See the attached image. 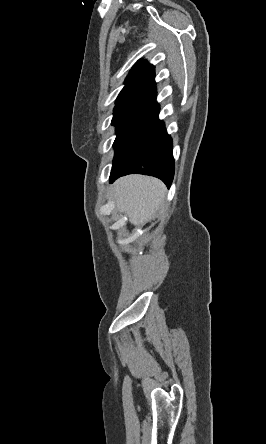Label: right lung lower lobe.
<instances>
[{
	"instance_id": "obj_1",
	"label": "right lung lower lobe",
	"mask_w": 266,
	"mask_h": 444,
	"mask_svg": "<svg viewBox=\"0 0 266 444\" xmlns=\"http://www.w3.org/2000/svg\"><path fill=\"white\" fill-rule=\"evenodd\" d=\"M172 139L158 117L114 156L110 182L140 173L161 179L169 188L174 177Z\"/></svg>"
}]
</instances>
